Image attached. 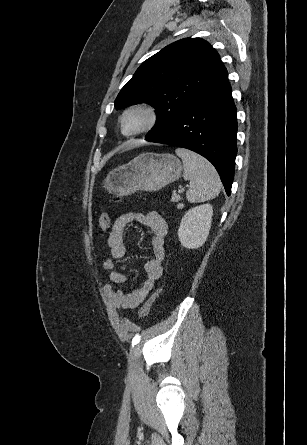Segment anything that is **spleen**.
<instances>
[{"instance_id":"3e777b00","label":"spleen","mask_w":307,"mask_h":445,"mask_svg":"<svg viewBox=\"0 0 307 445\" xmlns=\"http://www.w3.org/2000/svg\"><path fill=\"white\" fill-rule=\"evenodd\" d=\"M175 152L182 158L185 180H190V188L186 194L187 200L205 202L218 196L222 182L213 164L204 156L187 148H176Z\"/></svg>"}]
</instances>
